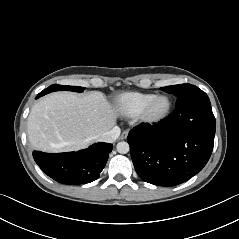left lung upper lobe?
<instances>
[{
    "label": "left lung upper lobe",
    "instance_id": "obj_1",
    "mask_svg": "<svg viewBox=\"0 0 239 239\" xmlns=\"http://www.w3.org/2000/svg\"><path fill=\"white\" fill-rule=\"evenodd\" d=\"M161 90L173 94L177 97L175 106H179L192 99L206 95V93L200 90L198 87L188 83L163 87L161 88Z\"/></svg>",
    "mask_w": 239,
    "mask_h": 239
}]
</instances>
